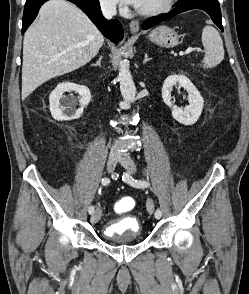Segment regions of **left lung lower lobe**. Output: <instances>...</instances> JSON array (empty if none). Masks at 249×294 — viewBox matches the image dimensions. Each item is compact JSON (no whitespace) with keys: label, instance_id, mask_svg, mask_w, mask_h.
<instances>
[{"label":"left lung lower lobe","instance_id":"0a47b994","mask_svg":"<svg viewBox=\"0 0 249 294\" xmlns=\"http://www.w3.org/2000/svg\"><path fill=\"white\" fill-rule=\"evenodd\" d=\"M191 9H201L206 11L211 16L213 22L221 29V31H223L220 4L218 0H180L177 3V6L169 13L158 17H152L145 21L143 29L153 27L161 21Z\"/></svg>","mask_w":249,"mask_h":294}]
</instances>
